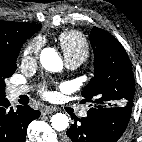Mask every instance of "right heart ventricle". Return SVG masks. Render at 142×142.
<instances>
[{
	"mask_svg": "<svg viewBox=\"0 0 142 142\" xmlns=\"http://www.w3.org/2000/svg\"><path fill=\"white\" fill-rule=\"evenodd\" d=\"M58 41L65 59L85 61L89 55V46L84 35L78 31H66L59 35Z\"/></svg>",
	"mask_w": 142,
	"mask_h": 142,
	"instance_id": "1",
	"label": "right heart ventricle"
}]
</instances>
